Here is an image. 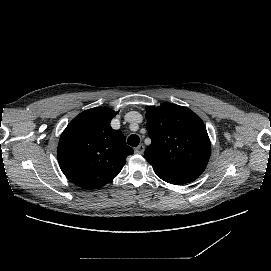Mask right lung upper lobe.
<instances>
[{
  "instance_id": "right-lung-upper-lobe-1",
  "label": "right lung upper lobe",
  "mask_w": 271,
  "mask_h": 271,
  "mask_svg": "<svg viewBox=\"0 0 271 271\" xmlns=\"http://www.w3.org/2000/svg\"><path fill=\"white\" fill-rule=\"evenodd\" d=\"M118 114L110 108L81 112L63 131L58 144V162L75 185L99 188L111 182L134 153L125 137L110 126Z\"/></svg>"
}]
</instances>
